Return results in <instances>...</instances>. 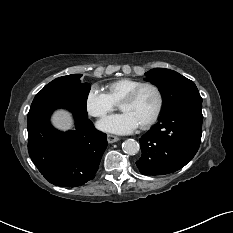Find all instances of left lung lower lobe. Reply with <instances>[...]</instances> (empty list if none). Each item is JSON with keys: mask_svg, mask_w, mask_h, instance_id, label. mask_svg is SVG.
Returning a JSON list of instances; mask_svg holds the SVG:
<instances>
[{"mask_svg": "<svg viewBox=\"0 0 233 233\" xmlns=\"http://www.w3.org/2000/svg\"><path fill=\"white\" fill-rule=\"evenodd\" d=\"M202 103H187L161 113L159 122L140 139L143 175H163L185 166L196 154L202 136Z\"/></svg>", "mask_w": 233, "mask_h": 233, "instance_id": "0a47b994", "label": "left lung lower lobe"}]
</instances>
